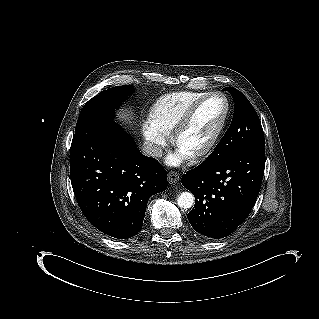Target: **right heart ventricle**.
Instances as JSON below:
<instances>
[{"mask_svg":"<svg viewBox=\"0 0 319 319\" xmlns=\"http://www.w3.org/2000/svg\"><path fill=\"white\" fill-rule=\"evenodd\" d=\"M205 93L178 91L161 96L152 106L149 121L164 131H171L182 119L186 111Z\"/></svg>","mask_w":319,"mask_h":319,"instance_id":"1","label":"right heart ventricle"}]
</instances>
